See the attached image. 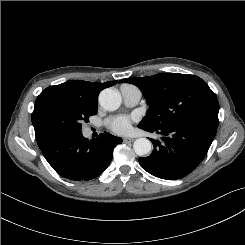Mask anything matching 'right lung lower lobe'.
Listing matches in <instances>:
<instances>
[{"label":"right lung lower lobe","mask_w":245,"mask_h":245,"mask_svg":"<svg viewBox=\"0 0 245 245\" xmlns=\"http://www.w3.org/2000/svg\"><path fill=\"white\" fill-rule=\"evenodd\" d=\"M122 139L104 132L95 140L82 133L54 137L40 148L53 169L64 178L87 181L97 177L110 164L113 149Z\"/></svg>","instance_id":"1"}]
</instances>
